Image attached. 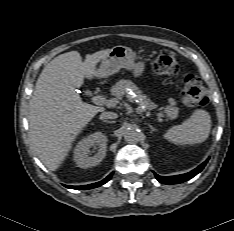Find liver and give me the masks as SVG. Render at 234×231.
<instances>
[{
  "instance_id": "liver-1",
  "label": "liver",
  "mask_w": 234,
  "mask_h": 231,
  "mask_svg": "<svg viewBox=\"0 0 234 231\" xmlns=\"http://www.w3.org/2000/svg\"><path fill=\"white\" fill-rule=\"evenodd\" d=\"M111 49L86 55L70 51L55 57L44 69L29 103V136L36 154L51 171L59 168L83 128L103 107L81 101L75 88L84 78L97 77L96 65Z\"/></svg>"
}]
</instances>
